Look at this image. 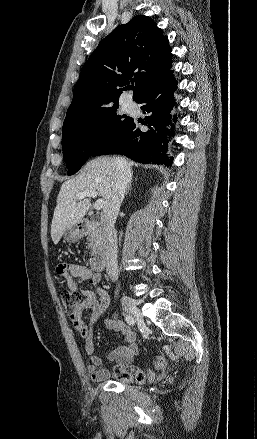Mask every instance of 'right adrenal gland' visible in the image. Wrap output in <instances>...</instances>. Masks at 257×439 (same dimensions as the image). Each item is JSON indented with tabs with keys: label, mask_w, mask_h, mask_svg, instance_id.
<instances>
[{
	"label": "right adrenal gland",
	"mask_w": 257,
	"mask_h": 439,
	"mask_svg": "<svg viewBox=\"0 0 257 439\" xmlns=\"http://www.w3.org/2000/svg\"><path fill=\"white\" fill-rule=\"evenodd\" d=\"M130 187H131V183L128 185V188H127V190H126V192H125V195L128 194V192H129V190H130Z\"/></svg>",
	"instance_id": "2a0ac1e0"
}]
</instances>
